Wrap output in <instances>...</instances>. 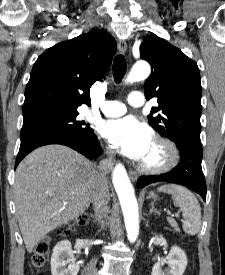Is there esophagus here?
I'll use <instances>...</instances> for the list:
<instances>
[{
    "mask_svg": "<svg viewBox=\"0 0 225 275\" xmlns=\"http://www.w3.org/2000/svg\"><path fill=\"white\" fill-rule=\"evenodd\" d=\"M118 49L122 54H125L127 52V43L125 40L123 39L118 40ZM129 176L132 181H136L138 178L137 173L134 171H130Z\"/></svg>",
    "mask_w": 225,
    "mask_h": 275,
    "instance_id": "1",
    "label": "esophagus"
}]
</instances>
